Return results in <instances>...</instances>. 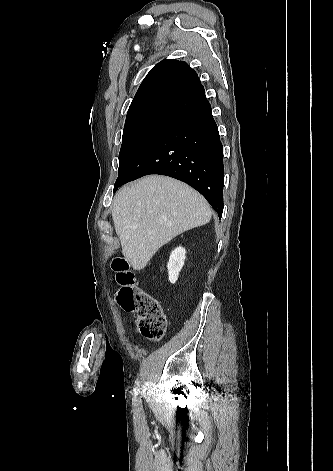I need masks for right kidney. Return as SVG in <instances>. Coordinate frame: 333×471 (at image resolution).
Here are the masks:
<instances>
[{
	"label": "right kidney",
	"mask_w": 333,
	"mask_h": 471,
	"mask_svg": "<svg viewBox=\"0 0 333 471\" xmlns=\"http://www.w3.org/2000/svg\"><path fill=\"white\" fill-rule=\"evenodd\" d=\"M185 258H186L185 248L179 246L172 251L169 258V262L167 264L169 281L171 283H175L178 280L179 272L184 266Z\"/></svg>",
	"instance_id": "right-kidney-1"
}]
</instances>
